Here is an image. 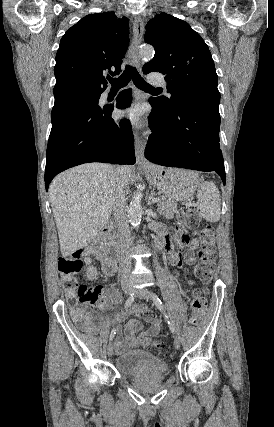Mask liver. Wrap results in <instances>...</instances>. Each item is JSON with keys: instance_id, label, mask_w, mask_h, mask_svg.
<instances>
[{"instance_id": "obj_1", "label": "liver", "mask_w": 274, "mask_h": 427, "mask_svg": "<svg viewBox=\"0 0 274 427\" xmlns=\"http://www.w3.org/2000/svg\"><path fill=\"white\" fill-rule=\"evenodd\" d=\"M131 166L82 164L62 172L49 186L63 257L86 247L112 214L113 194L120 182L127 188Z\"/></svg>"}]
</instances>
